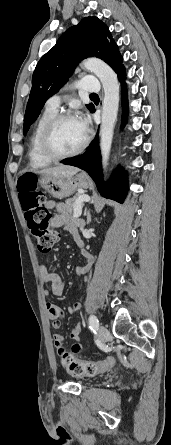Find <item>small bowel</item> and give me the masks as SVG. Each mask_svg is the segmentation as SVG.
<instances>
[{
	"instance_id": "obj_1",
	"label": "small bowel",
	"mask_w": 171,
	"mask_h": 445,
	"mask_svg": "<svg viewBox=\"0 0 171 445\" xmlns=\"http://www.w3.org/2000/svg\"><path fill=\"white\" fill-rule=\"evenodd\" d=\"M55 206H56V203L54 201L46 202V207L48 209H53V208H55ZM51 223L54 227L66 228L67 230H69L70 233L75 238V240L77 241V243L80 240L78 230H79V227L82 225L81 220L71 219L67 213H59V214H56L53 216ZM84 254L87 258V265H82V266L77 267L76 273L83 280H86L87 275L90 272L92 264H93V258L86 252ZM39 272H40L41 283L44 286L49 287V289H44V295L47 296L51 293L54 296L60 297L64 294L65 284L56 272L47 271V269L44 265L40 266ZM45 306H46L47 315H48L49 319L52 321L53 327L55 329L60 328L61 320L64 318L63 309L60 306H58L52 302H47ZM80 307H81V303L79 301L74 302L69 307V313L75 314L80 309ZM80 333H81V325H80V323H75L74 326L70 330V336H71V338H73L75 340V342L71 346V351L73 353L80 351L83 347V344L80 340ZM54 346L58 353H61L64 350L63 337L60 334H54ZM111 364H110V366H111ZM110 366H108L107 369Z\"/></svg>"
}]
</instances>
